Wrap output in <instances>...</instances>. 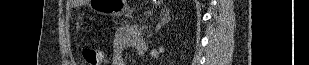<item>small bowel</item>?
<instances>
[{
  "mask_svg": "<svg viewBox=\"0 0 309 65\" xmlns=\"http://www.w3.org/2000/svg\"><path fill=\"white\" fill-rule=\"evenodd\" d=\"M142 48L141 31L136 26L122 27L115 33L113 41V53L107 64L125 65L123 52L126 48Z\"/></svg>",
  "mask_w": 309,
  "mask_h": 65,
  "instance_id": "1",
  "label": "small bowel"
}]
</instances>
